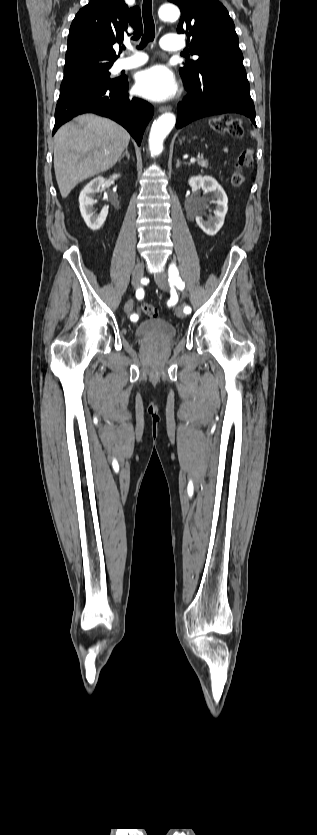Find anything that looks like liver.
I'll return each instance as SVG.
<instances>
[{
    "label": "liver",
    "mask_w": 317,
    "mask_h": 835,
    "mask_svg": "<svg viewBox=\"0 0 317 835\" xmlns=\"http://www.w3.org/2000/svg\"><path fill=\"white\" fill-rule=\"evenodd\" d=\"M130 134L116 122L94 114L78 116L54 136V169L66 198L81 181L113 167L127 148Z\"/></svg>",
    "instance_id": "6515ba94"
}]
</instances>
